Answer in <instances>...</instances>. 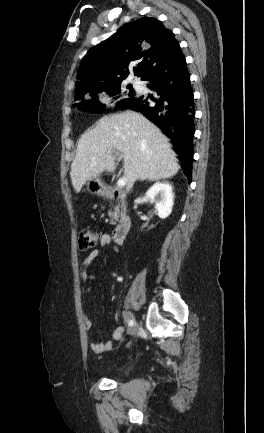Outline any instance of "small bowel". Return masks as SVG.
I'll use <instances>...</instances> for the list:
<instances>
[{"label":"small bowel","instance_id":"1","mask_svg":"<svg viewBox=\"0 0 264 433\" xmlns=\"http://www.w3.org/2000/svg\"><path fill=\"white\" fill-rule=\"evenodd\" d=\"M99 246L100 247L111 246L115 251H117V248L112 244L111 239L108 236L101 237L99 241ZM98 255H99V248L93 249L86 253L85 259L80 268V277L83 281L87 279L88 267L95 261ZM84 323L87 329H91L92 321L89 317L87 316L84 317ZM123 332H124L123 327H116L112 332L111 339L101 343H91L90 345L91 350L96 354H100L110 350L113 345V342L120 339L123 335Z\"/></svg>","mask_w":264,"mask_h":433}]
</instances>
